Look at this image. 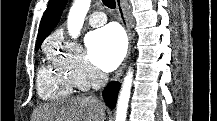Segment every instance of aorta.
Listing matches in <instances>:
<instances>
[{
	"instance_id": "obj_1",
	"label": "aorta",
	"mask_w": 217,
	"mask_h": 121,
	"mask_svg": "<svg viewBox=\"0 0 217 121\" xmlns=\"http://www.w3.org/2000/svg\"><path fill=\"white\" fill-rule=\"evenodd\" d=\"M90 5L91 0L74 1L67 18L68 32L72 38H77L79 36ZM132 78L133 71L130 69L124 78L118 97L115 121H126L127 109L131 95Z\"/></svg>"
}]
</instances>
